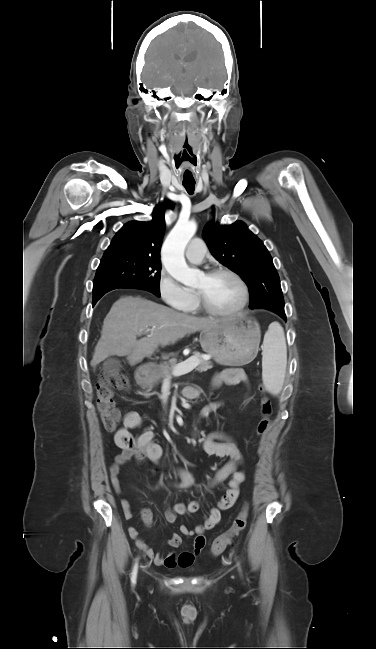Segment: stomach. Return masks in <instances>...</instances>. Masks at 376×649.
I'll return each instance as SVG.
<instances>
[{"mask_svg": "<svg viewBox=\"0 0 376 649\" xmlns=\"http://www.w3.org/2000/svg\"><path fill=\"white\" fill-rule=\"evenodd\" d=\"M260 328L256 322L245 318H228L200 333L204 352L222 365H243L252 361L258 352ZM148 373L146 381L151 380Z\"/></svg>", "mask_w": 376, "mask_h": 649, "instance_id": "0dacf381", "label": "stomach"}]
</instances>
